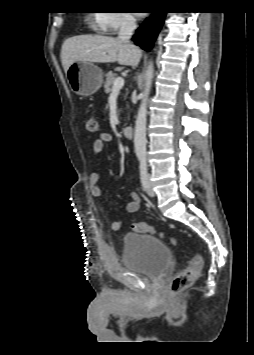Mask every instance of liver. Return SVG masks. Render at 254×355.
Instances as JSON below:
<instances>
[{"mask_svg":"<svg viewBox=\"0 0 254 355\" xmlns=\"http://www.w3.org/2000/svg\"><path fill=\"white\" fill-rule=\"evenodd\" d=\"M141 50L118 38L105 35H79L64 41L61 49L62 66L67 72L71 64L77 61L110 63L137 66Z\"/></svg>","mask_w":254,"mask_h":355,"instance_id":"1","label":"liver"}]
</instances>
